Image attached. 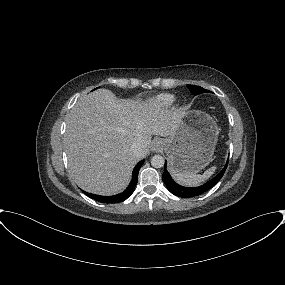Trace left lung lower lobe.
<instances>
[{"mask_svg": "<svg viewBox=\"0 0 285 285\" xmlns=\"http://www.w3.org/2000/svg\"><path fill=\"white\" fill-rule=\"evenodd\" d=\"M227 165H228V161H227L225 167L223 168V170L216 177L209 180L208 182H206L202 186L194 187V188H188V187L180 186L171 178L170 174L168 173V171L166 169V161H165L164 173L162 176V180L166 184L167 189L172 194L179 196V197H183V198L194 197V196H198V195L206 192L207 190L212 188L215 184H217V182L222 178V176H223V174L227 168Z\"/></svg>", "mask_w": 285, "mask_h": 285, "instance_id": "1", "label": "left lung lower lobe"}]
</instances>
